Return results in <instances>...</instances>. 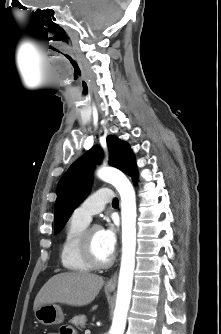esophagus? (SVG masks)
I'll list each match as a JSON object with an SVG mask.
<instances>
[{"label": "esophagus", "mask_w": 221, "mask_h": 334, "mask_svg": "<svg viewBox=\"0 0 221 334\" xmlns=\"http://www.w3.org/2000/svg\"><path fill=\"white\" fill-rule=\"evenodd\" d=\"M117 283V272L107 281V287H115Z\"/></svg>", "instance_id": "obj_1"}]
</instances>
